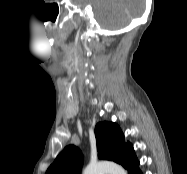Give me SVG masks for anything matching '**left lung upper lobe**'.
Here are the masks:
<instances>
[{
    "label": "left lung upper lobe",
    "mask_w": 187,
    "mask_h": 174,
    "mask_svg": "<svg viewBox=\"0 0 187 174\" xmlns=\"http://www.w3.org/2000/svg\"><path fill=\"white\" fill-rule=\"evenodd\" d=\"M98 157L121 164L128 174L139 164L133 146L124 141V134L116 123L103 122L95 127ZM83 164L81 151L69 145L57 156L46 174H80Z\"/></svg>",
    "instance_id": "5c2ea615"
}]
</instances>
